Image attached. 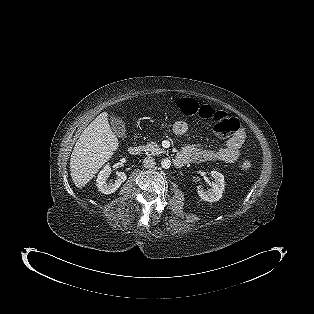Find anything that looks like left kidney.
<instances>
[{"label":"left kidney","mask_w":314,"mask_h":314,"mask_svg":"<svg viewBox=\"0 0 314 314\" xmlns=\"http://www.w3.org/2000/svg\"><path fill=\"white\" fill-rule=\"evenodd\" d=\"M211 176L214 178L211 188L198 190V195L204 201L216 202L222 198L225 186L224 175L217 171H211Z\"/></svg>","instance_id":"5707ae66"}]
</instances>
